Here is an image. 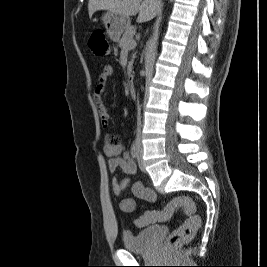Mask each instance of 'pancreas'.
Returning <instances> with one entry per match:
<instances>
[{"instance_id":"obj_1","label":"pancreas","mask_w":267,"mask_h":267,"mask_svg":"<svg viewBox=\"0 0 267 267\" xmlns=\"http://www.w3.org/2000/svg\"><path fill=\"white\" fill-rule=\"evenodd\" d=\"M135 33H136V28L134 26H129L125 30V32H124L121 40L119 41V47H121V48H128V45L130 43H132V42L136 43L133 40V36L135 35ZM130 67H131V65L129 66V68Z\"/></svg>"}]
</instances>
